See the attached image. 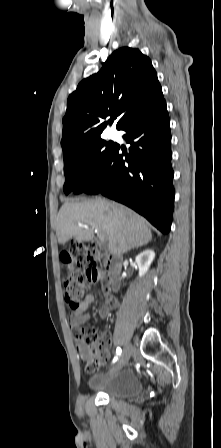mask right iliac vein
Instances as JSON below:
<instances>
[{"mask_svg":"<svg viewBox=\"0 0 221 448\" xmlns=\"http://www.w3.org/2000/svg\"><path fill=\"white\" fill-rule=\"evenodd\" d=\"M133 350L134 347L130 343H127L124 347L119 361L117 362L113 370L118 371L122 369L128 363Z\"/></svg>","mask_w":221,"mask_h":448,"instance_id":"obj_1","label":"right iliac vein"}]
</instances>
